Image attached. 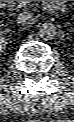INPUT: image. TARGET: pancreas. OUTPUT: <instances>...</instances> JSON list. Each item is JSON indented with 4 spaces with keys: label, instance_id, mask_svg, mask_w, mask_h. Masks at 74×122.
I'll return each instance as SVG.
<instances>
[{
    "label": "pancreas",
    "instance_id": "cf45deb5",
    "mask_svg": "<svg viewBox=\"0 0 74 122\" xmlns=\"http://www.w3.org/2000/svg\"><path fill=\"white\" fill-rule=\"evenodd\" d=\"M31 1H18V4L16 5V8H21L24 6H31Z\"/></svg>",
    "mask_w": 74,
    "mask_h": 122
}]
</instances>
